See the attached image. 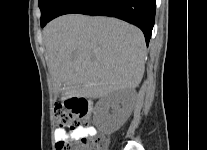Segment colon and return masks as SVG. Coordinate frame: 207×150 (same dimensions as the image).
I'll use <instances>...</instances> for the list:
<instances>
[{"mask_svg":"<svg viewBox=\"0 0 207 150\" xmlns=\"http://www.w3.org/2000/svg\"><path fill=\"white\" fill-rule=\"evenodd\" d=\"M87 111V100H63V105L57 104L54 108V123L71 130L87 127ZM105 146L106 140L102 137L66 138L56 144L57 150H104Z\"/></svg>","mask_w":207,"mask_h":150,"instance_id":"1","label":"colon"}]
</instances>
